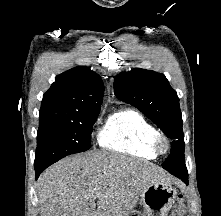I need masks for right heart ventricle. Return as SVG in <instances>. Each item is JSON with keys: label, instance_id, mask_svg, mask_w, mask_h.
I'll list each match as a JSON object with an SVG mask.
<instances>
[{"label": "right heart ventricle", "instance_id": "right-heart-ventricle-1", "mask_svg": "<svg viewBox=\"0 0 221 216\" xmlns=\"http://www.w3.org/2000/svg\"><path fill=\"white\" fill-rule=\"evenodd\" d=\"M155 128L139 111L125 108L112 113L98 134L99 146L119 154L154 159L149 140Z\"/></svg>", "mask_w": 221, "mask_h": 216}]
</instances>
